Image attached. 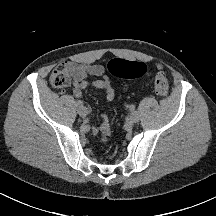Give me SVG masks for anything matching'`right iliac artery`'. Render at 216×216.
Listing matches in <instances>:
<instances>
[{
    "instance_id": "82829eb1",
    "label": "right iliac artery",
    "mask_w": 216,
    "mask_h": 216,
    "mask_svg": "<svg viewBox=\"0 0 216 216\" xmlns=\"http://www.w3.org/2000/svg\"><path fill=\"white\" fill-rule=\"evenodd\" d=\"M83 101H81V100H78L77 102H76V105L77 106H79V107H82L83 106Z\"/></svg>"
}]
</instances>
